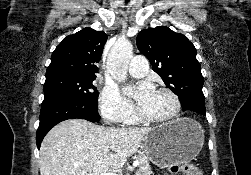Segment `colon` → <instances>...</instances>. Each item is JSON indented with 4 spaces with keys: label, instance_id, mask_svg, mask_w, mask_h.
<instances>
[{
    "label": "colon",
    "instance_id": "1",
    "mask_svg": "<svg viewBox=\"0 0 251 175\" xmlns=\"http://www.w3.org/2000/svg\"><path fill=\"white\" fill-rule=\"evenodd\" d=\"M173 174L180 175H201L200 168L192 163L175 164L169 168Z\"/></svg>",
    "mask_w": 251,
    "mask_h": 175
}]
</instances>
